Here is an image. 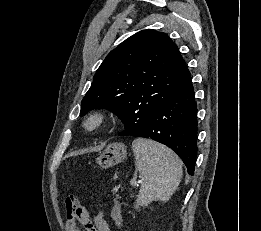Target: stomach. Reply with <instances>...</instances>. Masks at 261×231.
Masks as SVG:
<instances>
[{
  "mask_svg": "<svg viewBox=\"0 0 261 231\" xmlns=\"http://www.w3.org/2000/svg\"><path fill=\"white\" fill-rule=\"evenodd\" d=\"M127 151L120 143L109 144L97 158L96 162L102 168H109L125 160Z\"/></svg>",
  "mask_w": 261,
  "mask_h": 231,
  "instance_id": "obj_1",
  "label": "stomach"
}]
</instances>
